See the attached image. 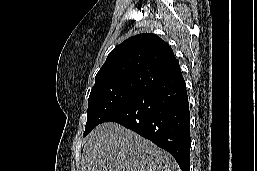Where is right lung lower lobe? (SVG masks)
I'll return each mask as SVG.
<instances>
[{"instance_id": "1", "label": "right lung lower lobe", "mask_w": 257, "mask_h": 171, "mask_svg": "<svg viewBox=\"0 0 257 171\" xmlns=\"http://www.w3.org/2000/svg\"><path fill=\"white\" fill-rule=\"evenodd\" d=\"M104 122H117L173 155L190 170V111L181 71L146 88Z\"/></svg>"}]
</instances>
